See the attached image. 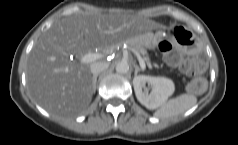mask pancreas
Masks as SVG:
<instances>
[{
  "label": "pancreas",
  "mask_w": 238,
  "mask_h": 145,
  "mask_svg": "<svg viewBox=\"0 0 238 145\" xmlns=\"http://www.w3.org/2000/svg\"><path fill=\"white\" fill-rule=\"evenodd\" d=\"M127 43L130 48L137 50L138 52H140L143 55L144 62H146L147 65L151 68L152 65L150 62V58L148 56L146 46L144 45L142 40L140 38H133V39L127 41Z\"/></svg>",
  "instance_id": "cf45deb5"
}]
</instances>
